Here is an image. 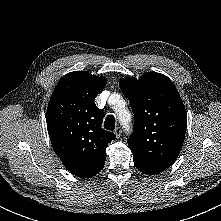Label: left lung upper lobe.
I'll list each match as a JSON object with an SVG mask.
<instances>
[{
	"mask_svg": "<svg viewBox=\"0 0 221 221\" xmlns=\"http://www.w3.org/2000/svg\"><path fill=\"white\" fill-rule=\"evenodd\" d=\"M120 89L134 113L128 139L137 166L166 169L177 159L186 133L187 115L173 82L157 72L139 80L122 78Z\"/></svg>",
	"mask_w": 221,
	"mask_h": 221,
	"instance_id": "obj_1",
	"label": "left lung upper lobe"
}]
</instances>
